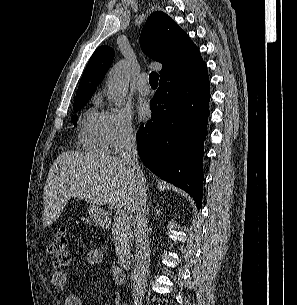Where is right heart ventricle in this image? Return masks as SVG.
Listing matches in <instances>:
<instances>
[{
    "instance_id": "e07e8e85",
    "label": "right heart ventricle",
    "mask_w": 297,
    "mask_h": 305,
    "mask_svg": "<svg viewBox=\"0 0 297 305\" xmlns=\"http://www.w3.org/2000/svg\"><path fill=\"white\" fill-rule=\"evenodd\" d=\"M77 140L81 149L95 153L108 150L102 126V114L94 108L86 110L81 118Z\"/></svg>"
}]
</instances>
